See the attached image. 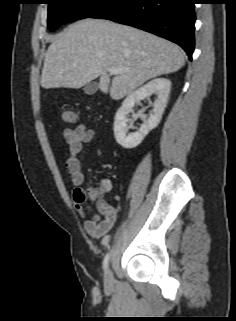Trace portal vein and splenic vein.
I'll return each instance as SVG.
<instances>
[{
    "label": "portal vein and splenic vein",
    "instance_id": "1",
    "mask_svg": "<svg viewBox=\"0 0 236 321\" xmlns=\"http://www.w3.org/2000/svg\"><path fill=\"white\" fill-rule=\"evenodd\" d=\"M122 71L123 70L118 68V67H110V68H108V72L111 75H117V74L121 73Z\"/></svg>",
    "mask_w": 236,
    "mask_h": 321
}]
</instances>
